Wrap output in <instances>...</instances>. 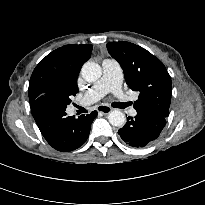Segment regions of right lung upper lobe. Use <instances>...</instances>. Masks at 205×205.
I'll list each match as a JSON object with an SVG mask.
<instances>
[{
  "mask_svg": "<svg viewBox=\"0 0 205 205\" xmlns=\"http://www.w3.org/2000/svg\"><path fill=\"white\" fill-rule=\"evenodd\" d=\"M91 51L92 45H65L43 58L30 78V103L49 92L62 93L69 82L77 86L78 74Z\"/></svg>",
  "mask_w": 205,
  "mask_h": 205,
  "instance_id": "obj_1",
  "label": "right lung upper lobe"
}]
</instances>
